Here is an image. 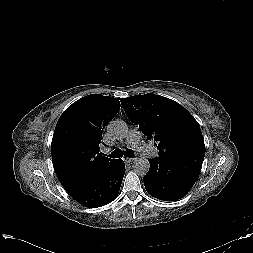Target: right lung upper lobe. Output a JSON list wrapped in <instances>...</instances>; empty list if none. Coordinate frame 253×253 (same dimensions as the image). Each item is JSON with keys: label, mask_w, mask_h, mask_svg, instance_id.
<instances>
[{"label": "right lung upper lobe", "mask_w": 253, "mask_h": 253, "mask_svg": "<svg viewBox=\"0 0 253 253\" xmlns=\"http://www.w3.org/2000/svg\"><path fill=\"white\" fill-rule=\"evenodd\" d=\"M120 109L117 98L87 95L60 116L53 134L52 162L58 179L71 195L110 171L117 159L102 156L103 128Z\"/></svg>", "instance_id": "obj_1"}]
</instances>
